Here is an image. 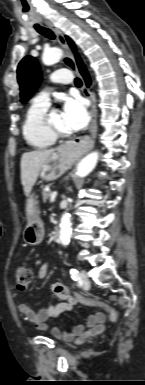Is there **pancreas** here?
<instances>
[{
	"instance_id": "pancreas-1",
	"label": "pancreas",
	"mask_w": 145,
	"mask_h": 385,
	"mask_svg": "<svg viewBox=\"0 0 145 385\" xmlns=\"http://www.w3.org/2000/svg\"><path fill=\"white\" fill-rule=\"evenodd\" d=\"M52 192L50 190H46L45 188L42 191L43 200L46 201L50 196Z\"/></svg>"
}]
</instances>
